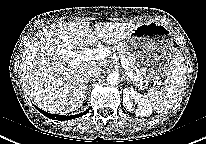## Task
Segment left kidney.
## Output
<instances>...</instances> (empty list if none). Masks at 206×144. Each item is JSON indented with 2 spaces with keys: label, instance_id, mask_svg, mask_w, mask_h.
Here are the masks:
<instances>
[{
  "label": "left kidney",
  "instance_id": "1",
  "mask_svg": "<svg viewBox=\"0 0 206 144\" xmlns=\"http://www.w3.org/2000/svg\"><path fill=\"white\" fill-rule=\"evenodd\" d=\"M137 104V108L134 106ZM123 105L128 111H134L137 116L145 117L152 114V105L146 96L137 93L133 88L123 90Z\"/></svg>",
  "mask_w": 206,
  "mask_h": 144
}]
</instances>
